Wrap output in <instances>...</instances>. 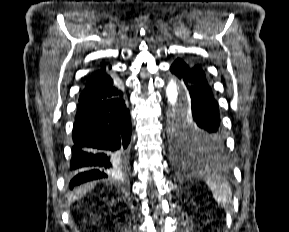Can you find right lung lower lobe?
<instances>
[{"instance_id":"right-lung-lower-lobe-1","label":"right lung lower lobe","mask_w":289,"mask_h":232,"mask_svg":"<svg viewBox=\"0 0 289 232\" xmlns=\"http://www.w3.org/2000/svg\"><path fill=\"white\" fill-rule=\"evenodd\" d=\"M131 138L129 110L118 95L90 103H79L73 126L70 188L106 178V171L123 162Z\"/></svg>"}]
</instances>
